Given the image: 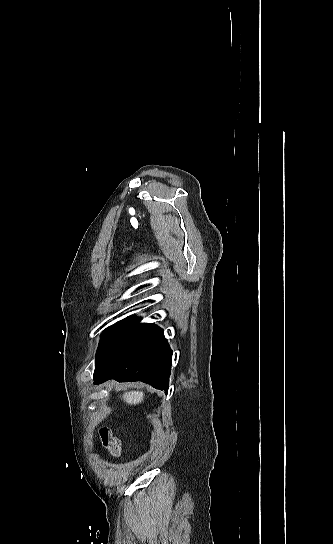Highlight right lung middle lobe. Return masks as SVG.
Instances as JSON below:
<instances>
[{
  "label": "right lung middle lobe",
  "mask_w": 333,
  "mask_h": 544,
  "mask_svg": "<svg viewBox=\"0 0 333 544\" xmlns=\"http://www.w3.org/2000/svg\"><path fill=\"white\" fill-rule=\"evenodd\" d=\"M153 324L137 323L132 319H125L108 327L101 336L96 353V366L102 365L112 355L143 335Z\"/></svg>",
  "instance_id": "1"
}]
</instances>
